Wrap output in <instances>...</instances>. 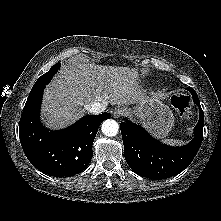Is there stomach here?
<instances>
[{
	"label": "stomach",
	"instance_id": "obj_1",
	"mask_svg": "<svg viewBox=\"0 0 221 221\" xmlns=\"http://www.w3.org/2000/svg\"><path fill=\"white\" fill-rule=\"evenodd\" d=\"M126 112L159 139L165 138L174 124L171 109L162 102L158 93H152L134 108L126 109Z\"/></svg>",
	"mask_w": 221,
	"mask_h": 221
}]
</instances>
